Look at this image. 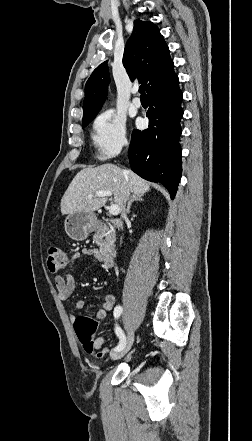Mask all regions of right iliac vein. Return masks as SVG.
I'll return each instance as SVG.
<instances>
[{
  "label": "right iliac vein",
  "mask_w": 252,
  "mask_h": 441,
  "mask_svg": "<svg viewBox=\"0 0 252 441\" xmlns=\"http://www.w3.org/2000/svg\"><path fill=\"white\" fill-rule=\"evenodd\" d=\"M133 340H134V333H133V331L131 330V331H129V333H128L127 341H126V344H125L124 348L121 349V350H119V351H113V352H111V353H110V357H111L113 360H117V359L122 358V357H123L124 355H126L127 352L130 350V348H131V346H132V344H133Z\"/></svg>",
  "instance_id": "63e3f726"
}]
</instances>
